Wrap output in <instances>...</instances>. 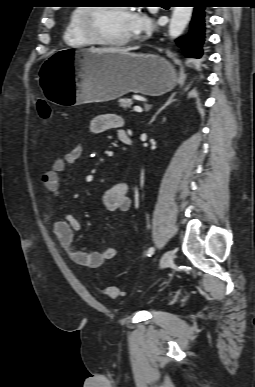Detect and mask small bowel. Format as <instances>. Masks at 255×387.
I'll return each mask as SVG.
<instances>
[{"label": "small bowel", "instance_id": "c3829d8e", "mask_svg": "<svg viewBox=\"0 0 255 387\" xmlns=\"http://www.w3.org/2000/svg\"><path fill=\"white\" fill-rule=\"evenodd\" d=\"M123 119L113 113H102L95 116L90 123V130L94 134H100L110 129H118V135L126 133L123 128ZM83 154L81 145L74 146L68 153L58 157L50 170L42 175V183L62 207L61 175L65 172L67 165L76 163ZM103 204L108 211L127 212L131 207V199L128 196V186L124 182L112 185L103 195ZM62 219L52 223L53 233L61 248L74 263L96 269L101 267L107 260L114 258L117 254V246L111 245L101 252H86L75 243V235L81 229L79 221L71 214L61 210Z\"/></svg>", "mask_w": 255, "mask_h": 387}]
</instances>
